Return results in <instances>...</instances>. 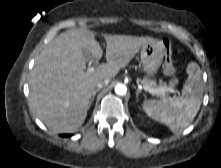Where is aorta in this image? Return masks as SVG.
<instances>
[{
	"instance_id": "762f6f07",
	"label": "aorta",
	"mask_w": 221,
	"mask_h": 168,
	"mask_svg": "<svg viewBox=\"0 0 221 168\" xmlns=\"http://www.w3.org/2000/svg\"><path fill=\"white\" fill-rule=\"evenodd\" d=\"M127 92V87L124 84H117L115 86V93L120 96H124Z\"/></svg>"
}]
</instances>
